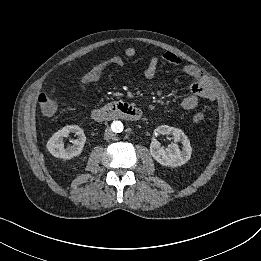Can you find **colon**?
Masks as SVG:
<instances>
[{
    "instance_id": "colon-1",
    "label": "colon",
    "mask_w": 261,
    "mask_h": 261,
    "mask_svg": "<svg viewBox=\"0 0 261 261\" xmlns=\"http://www.w3.org/2000/svg\"><path fill=\"white\" fill-rule=\"evenodd\" d=\"M210 87V81L206 75H202L198 80H195L191 86L190 91L193 94L203 93ZM38 102L41 110L47 114L51 115L56 111V100L46 93H42L38 96ZM195 121L202 122L204 120V115L202 113H196L194 116Z\"/></svg>"
}]
</instances>
